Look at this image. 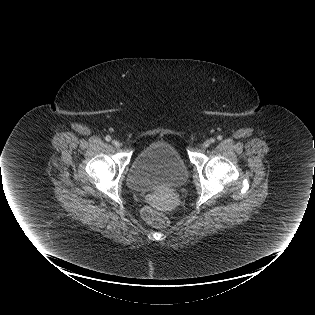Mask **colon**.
<instances>
[{"label": "colon", "mask_w": 315, "mask_h": 315, "mask_svg": "<svg viewBox=\"0 0 315 315\" xmlns=\"http://www.w3.org/2000/svg\"><path fill=\"white\" fill-rule=\"evenodd\" d=\"M142 216L148 223L157 228H164L169 223L168 217L165 214L148 206L142 209Z\"/></svg>", "instance_id": "obj_1"}]
</instances>
